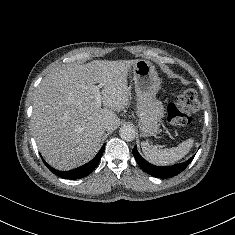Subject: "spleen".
Returning <instances> with one entry per match:
<instances>
[{"label":"spleen","mask_w":235,"mask_h":235,"mask_svg":"<svg viewBox=\"0 0 235 235\" xmlns=\"http://www.w3.org/2000/svg\"><path fill=\"white\" fill-rule=\"evenodd\" d=\"M192 138L183 141L177 147L170 149H160L157 146H152L147 142L141 143L142 151L151 163L156 165H170L187 155L193 146Z\"/></svg>","instance_id":"3e777b00"}]
</instances>
